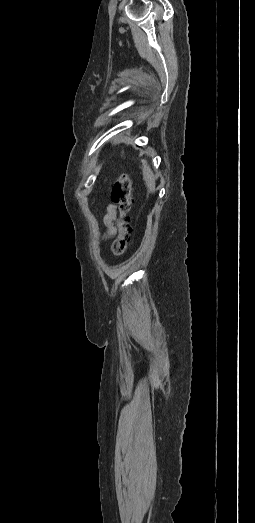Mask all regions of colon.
Instances as JSON below:
<instances>
[{
	"label": "colon",
	"instance_id": "obj_1",
	"mask_svg": "<svg viewBox=\"0 0 255 523\" xmlns=\"http://www.w3.org/2000/svg\"><path fill=\"white\" fill-rule=\"evenodd\" d=\"M111 201L117 207L115 223L118 234L112 244V252L122 255L132 240L133 229L129 219V211L132 205V182L127 174H120L112 188Z\"/></svg>",
	"mask_w": 255,
	"mask_h": 523
}]
</instances>
